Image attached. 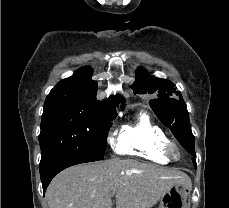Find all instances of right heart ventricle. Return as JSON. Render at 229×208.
<instances>
[{
  "label": "right heart ventricle",
  "instance_id": "right-heart-ventricle-1",
  "mask_svg": "<svg viewBox=\"0 0 229 208\" xmlns=\"http://www.w3.org/2000/svg\"><path fill=\"white\" fill-rule=\"evenodd\" d=\"M168 140L166 132L152 122L146 113L141 112L132 123L121 128L114 142V149L122 155L166 165L172 161L165 157Z\"/></svg>",
  "mask_w": 229,
  "mask_h": 208
}]
</instances>
